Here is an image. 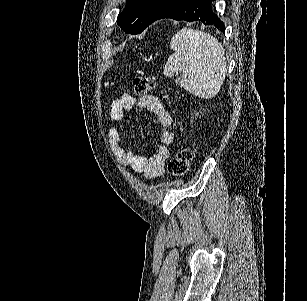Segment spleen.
I'll use <instances>...</instances> for the list:
<instances>
[{
	"instance_id": "1",
	"label": "spleen",
	"mask_w": 307,
	"mask_h": 301,
	"mask_svg": "<svg viewBox=\"0 0 307 301\" xmlns=\"http://www.w3.org/2000/svg\"><path fill=\"white\" fill-rule=\"evenodd\" d=\"M174 50L165 62L163 74L174 76L176 84L201 98H213L219 92L227 72L223 44L218 38L194 28H181L170 40Z\"/></svg>"
}]
</instances>
